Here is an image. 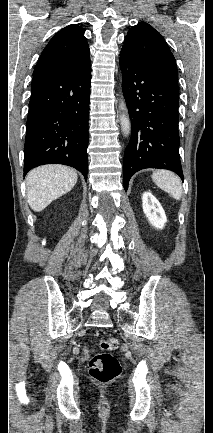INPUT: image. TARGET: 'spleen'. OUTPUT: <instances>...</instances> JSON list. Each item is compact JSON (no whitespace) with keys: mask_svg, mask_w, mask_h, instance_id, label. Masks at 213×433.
I'll use <instances>...</instances> for the list:
<instances>
[{"mask_svg":"<svg viewBox=\"0 0 213 433\" xmlns=\"http://www.w3.org/2000/svg\"><path fill=\"white\" fill-rule=\"evenodd\" d=\"M152 179L159 188L169 193L174 199L180 200L182 184L177 175L170 171L157 170L152 174Z\"/></svg>","mask_w":213,"mask_h":433,"instance_id":"1","label":"spleen"}]
</instances>
